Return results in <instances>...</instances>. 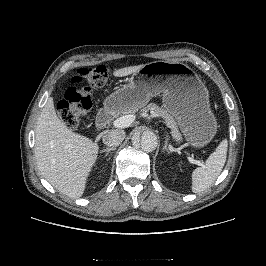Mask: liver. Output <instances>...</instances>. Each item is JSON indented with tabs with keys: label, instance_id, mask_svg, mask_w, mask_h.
Wrapping results in <instances>:
<instances>
[{
	"label": "liver",
	"instance_id": "6515ba94",
	"mask_svg": "<svg viewBox=\"0 0 266 266\" xmlns=\"http://www.w3.org/2000/svg\"><path fill=\"white\" fill-rule=\"evenodd\" d=\"M142 65L115 70L116 77L128 76ZM95 142L69 130L58 118L49 97L39 115L35 130V158L41 175L60 193L76 199L83 195L88 176L99 151Z\"/></svg>",
	"mask_w": 266,
	"mask_h": 266
}]
</instances>
